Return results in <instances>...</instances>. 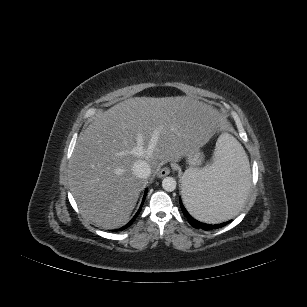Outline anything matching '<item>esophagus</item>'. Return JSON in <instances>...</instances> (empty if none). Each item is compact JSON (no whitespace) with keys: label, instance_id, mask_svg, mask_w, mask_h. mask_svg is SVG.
<instances>
[{"label":"esophagus","instance_id":"esophagus-1","mask_svg":"<svg viewBox=\"0 0 307 307\" xmlns=\"http://www.w3.org/2000/svg\"><path fill=\"white\" fill-rule=\"evenodd\" d=\"M169 174H170V168L169 167H163L162 169H160L157 176L159 178H163V177H166Z\"/></svg>","mask_w":307,"mask_h":307}]
</instances>
